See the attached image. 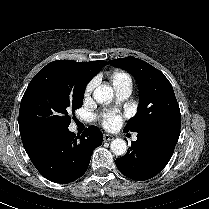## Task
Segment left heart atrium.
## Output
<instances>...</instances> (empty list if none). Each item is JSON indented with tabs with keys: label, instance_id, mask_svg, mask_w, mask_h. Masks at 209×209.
Masks as SVG:
<instances>
[{
	"label": "left heart atrium",
	"instance_id": "39dd6f15",
	"mask_svg": "<svg viewBox=\"0 0 209 209\" xmlns=\"http://www.w3.org/2000/svg\"><path fill=\"white\" fill-rule=\"evenodd\" d=\"M121 122V115L115 111L106 113L102 118V126L106 129H114L118 127Z\"/></svg>",
	"mask_w": 209,
	"mask_h": 209
}]
</instances>
